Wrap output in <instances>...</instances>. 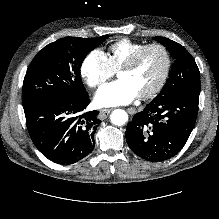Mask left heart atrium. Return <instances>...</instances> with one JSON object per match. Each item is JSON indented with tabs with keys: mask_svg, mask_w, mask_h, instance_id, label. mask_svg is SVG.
Listing matches in <instances>:
<instances>
[{
	"mask_svg": "<svg viewBox=\"0 0 219 219\" xmlns=\"http://www.w3.org/2000/svg\"><path fill=\"white\" fill-rule=\"evenodd\" d=\"M138 97V93L125 79H118L102 86L95 95L100 107L125 105Z\"/></svg>",
	"mask_w": 219,
	"mask_h": 219,
	"instance_id": "left-heart-atrium-1",
	"label": "left heart atrium"
}]
</instances>
